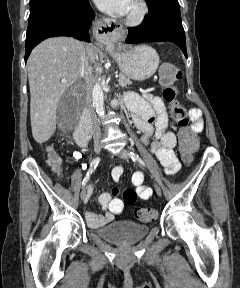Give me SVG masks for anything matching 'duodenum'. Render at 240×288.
Returning a JSON list of instances; mask_svg holds the SVG:
<instances>
[{
    "label": "duodenum",
    "instance_id": "1",
    "mask_svg": "<svg viewBox=\"0 0 240 288\" xmlns=\"http://www.w3.org/2000/svg\"><path fill=\"white\" fill-rule=\"evenodd\" d=\"M118 102L114 101L113 106H117ZM75 141L80 146L87 145L90 139V120H89V113L87 110H84L79 124L74 133Z\"/></svg>",
    "mask_w": 240,
    "mask_h": 288
}]
</instances>
